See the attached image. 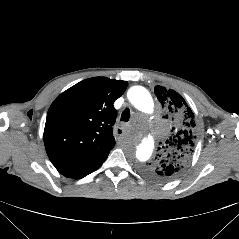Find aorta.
<instances>
[{
  "instance_id": "1",
  "label": "aorta",
  "mask_w": 239,
  "mask_h": 239,
  "mask_svg": "<svg viewBox=\"0 0 239 239\" xmlns=\"http://www.w3.org/2000/svg\"><path fill=\"white\" fill-rule=\"evenodd\" d=\"M127 97L131 104L143 113H151L153 110V100L150 93L141 86H134L129 89ZM156 142L154 135L147 133L143 135L136 148L135 160L139 163L147 161L153 151Z\"/></svg>"
}]
</instances>
